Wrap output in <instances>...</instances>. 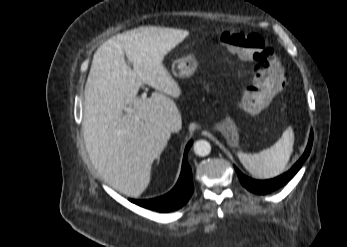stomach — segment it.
<instances>
[{"instance_id": "1", "label": "stomach", "mask_w": 347, "mask_h": 247, "mask_svg": "<svg viewBox=\"0 0 347 247\" xmlns=\"http://www.w3.org/2000/svg\"><path fill=\"white\" fill-rule=\"evenodd\" d=\"M198 62L194 54L176 60L172 65V73L179 78L190 77L194 74ZM214 129L221 132L228 142L237 144L238 131L234 120L227 116L223 121L215 124Z\"/></svg>"}]
</instances>
